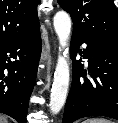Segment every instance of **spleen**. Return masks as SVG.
I'll return each mask as SVG.
<instances>
[{"label": "spleen", "mask_w": 118, "mask_h": 123, "mask_svg": "<svg viewBox=\"0 0 118 123\" xmlns=\"http://www.w3.org/2000/svg\"><path fill=\"white\" fill-rule=\"evenodd\" d=\"M83 123H113L105 118H90L85 120Z\"/></svg>", "instance_id": "1"}]
</instances>
